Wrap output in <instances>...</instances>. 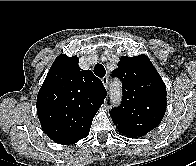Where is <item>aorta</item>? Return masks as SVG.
Segmentation results:
<instances>
[{
    "mask_svg": "<svg viewBox=\"0 0 196 166\" xmlns=\"http://www.w3.org/2000/svg\"><path fill=\"white\" fill-rule=\"evenodd\" d=\"M119 98H120V93L118 92L117 95H116V97H115V99H114V101L119 100Z\"/></svg>",
    "mask_w": 196,
    "mask_h": 166,
    "instance_id": "obj_1",
    "label": "aorta"
}]
</instances>
